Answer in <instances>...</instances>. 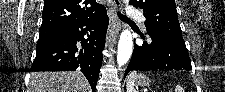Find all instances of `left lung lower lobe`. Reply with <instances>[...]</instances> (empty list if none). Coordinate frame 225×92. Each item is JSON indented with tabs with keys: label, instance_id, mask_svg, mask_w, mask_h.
Listing matches in <instances>:
<instances>
[{
	"label": "left lung lower lobe",
	"instance_id": "1",
	"mask_svg": "<svg viewBox=\"0 0 225 92\" xmlns=\"http://www.w3.org/2000/svg\"><path fill=\"white\" fill-rule=\"evenodd\" d=\"M152 42L135 44L124 78L132 70H190L191 60L181 37L164 31H147Z\"/></svg>",
	"mask_w": 225,
	"mask_h": 92
}]
</instances>
